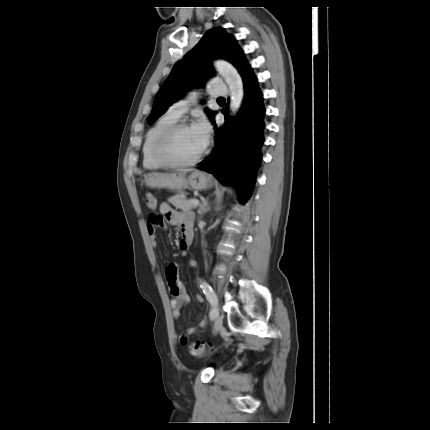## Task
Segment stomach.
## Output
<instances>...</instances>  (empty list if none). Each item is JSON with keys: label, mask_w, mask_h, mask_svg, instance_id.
I'll return each instance as SVG.
<instances>
[{"label": "stomach", "mask_w": 430, "mask_h": 430, "mask_svg": "<svg viewBox=\"0 0 430 430\" xmlns=\"http://www.w3.org/2000/svg\"><path fill=\"white\" fill-rule=\"evenodd\" d=\"M144 183L151 188H168L177 191L188 186L199 191L212 185L211 178L201 171H193L188 177L182 172L148 173L144 177Z\"/></svg>", "instance_id": "1"}]
</instances>
